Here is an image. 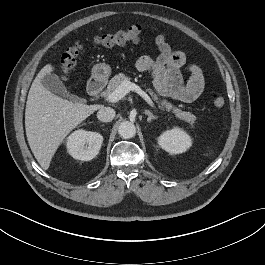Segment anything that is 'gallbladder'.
<instances>
[{
  "label": "gallbladder",
  "instance_id": "gallbladder-1",
  "mask_svg": "<svg viewBox=\"0 0 265 265\" xmlns=\"http://www.w3.org/2000/svg\"><path fill=\"white\" fill-rule=\"evenodd\" d=\"M42 84L44 87H46L48 90L63 96L65 98H69L73 101H78L79 97L73 94H70L65 85L63 84V82L59 79V77L55 74L49 73L46 74L42 80H41Z\"/></svg>",
  "mask_w": 265,
  "mask_h": 265
}]
</instances>
